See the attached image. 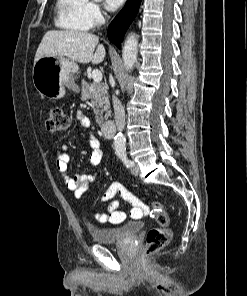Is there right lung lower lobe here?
Here are the masks:
<instances>
[{
  "instance_id": "1",
  "label": "right lung lower lobe",
  "mask_w": 247,
  "mask_h": 296,
  "mask_svg": "<svg viewBox=\"0 0 247 296\" xmlns=\"http://www.w3.org/2000/svg\"><path fill=\"white\" fill-rule=\"evenodd\" d=\"M140 3L141 0H127L124 8L115 17L108 28L109 40L119 48H121L120 44L123 41L128 27L139 10Z\"/></svg>"
}]
</instances>
